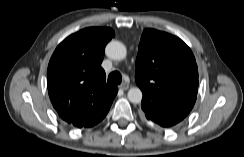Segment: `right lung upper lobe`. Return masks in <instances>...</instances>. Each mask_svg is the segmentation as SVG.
<instances>
[{"instance_id": "1", "label": "right lung upper lobe", "mask_w": 244, "mask_h": 157, "mask_svg": "<svg viewBox=\"0 0 244 157\" xmlns=\"http://www.w3.org/2000/svg\"><path fill=\"white\" fill-rule=\"evenodd\" d=\"M115 36L108 27H90L63 40L47 70L50 100L69 125L89 128L104 119L118 92L106 84L100 67L106 44Z\"/></svg>"}]
</instances>
